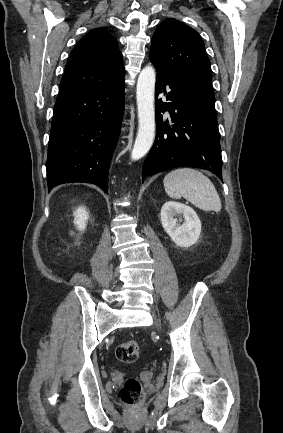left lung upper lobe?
Listing matches in <instances>:
<instances>
[{
  "mask_svg": "<svg viewBox=\"0 0 283 433\" xmlns=\"http://www.w3.org/2000/svg\"><path fill=\"white\" fill-rule=\"evenodd\" d=\"M150 59L188 77L195 90L193 104L201 112L217 116L210 61L194 29L171 18L160 23L151 40Z\"/></svg>",
  "mask_w": 283,
  "mask_h": 433,
  "instance_id": "1",
  "label": "left lung upper lobe"
}]
</instances>
